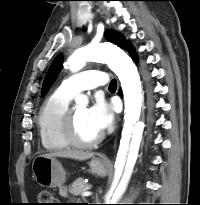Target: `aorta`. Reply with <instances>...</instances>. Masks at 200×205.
Returning a JSON list of instances; mask_svg holds the SVG:
<instances>
[{"label":"aorta","instance_id":"obj_1","mask_svg":"<svg viewBox=\"0 0 200 205\" xmlns=\"http://www.w3.org/2000/svg\"><path fill=\"white\" fill-rule=\"evenodd\" d=\"M87 61L103 62L118 76L124 95V126L118 157L126 155V163L121 180L115 190L113 199L118 201L127 189L142 139L144 124L139 120L142 108V86L137 67L132 59L118 46L105 42L89 44L76 49L68 59L72 71L83 68ZM80 105L88 100L84 95L76 99Z\"/></svg>","mask_w":200,"mask_h":205}]
</instances>
